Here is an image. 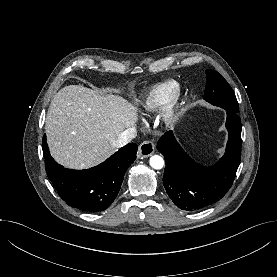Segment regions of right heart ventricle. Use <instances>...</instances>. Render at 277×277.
Listing matches in <instances>:
<instances>
[{"instance_id": "e07e8e85", "label": "right heart ventricle", "mask_w": 277, "mask_h": 277, "mask_svg": "<svg viewBox=\"0 0 277 277\" xmlns=\"http://www.w3.org/2000/svg\"><path fill=\"white\" fill-rule=\"evenodd\" d=\"M176 88V83L166 81L154 86L139 102L143 114H151L163 107L170 99Z\"/></svg>"}]
</instances>
